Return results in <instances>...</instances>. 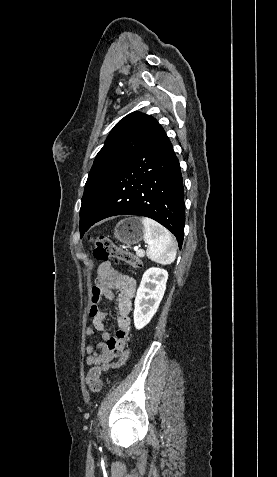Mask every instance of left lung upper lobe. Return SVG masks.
Returning a JSON list of instances; mask_svg holds the SVG:
<instances>
[{
	"label": "left lung upper lobe",
	"mask_w": 277,
	"mask_h": 477,
	"mask_svg": "<svg viewBox=\"0 0 277 477\" xmlns=\"http://www.w3.org/2000/svg\"><path fill=\"white\" fill-rule=\"evenodd\" d=\"M163 131L155 118L132 112L110 132L89 173L80 209V227L93 216L113 177L147 142Z\"/></svg>",
	"instance_id": "5c2ea615"
}]
</instances>
